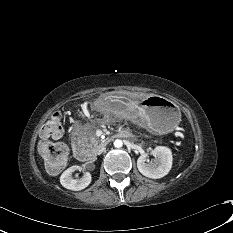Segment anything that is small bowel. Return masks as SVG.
<instances>
[{
    "label": "small bowel",
    "instance_id": "c3829d8e",
    "mask_svg": "<svg viewBox=\"0 0 233 233\" xmlns=\"http://www.w3.org/2000/svg\"><path fill=\"white\" fill-rule=\"evenodd\" d=\"M62 137V132L59 133L58 135L53 136V139H60Z\"/></svg>",
    "mask_w": 233,
    "mask_h": 233
}]
</instances>
